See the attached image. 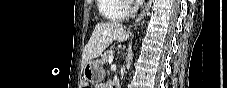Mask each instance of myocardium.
Here are the masks:
<instances>
[{"label":"myocardium","instance_id":"f54148a6","mask_svg":"<svg viewBox=\"0 0 227 88\" xmlns=\"http://www.w3.org/2000/svg\"><path fill=\"white\" fill-rule=\"evenodd\" d=\"M130 6H131L130 1H127V9H128L129 11H133V8H131Z\"/></svg>","mask_w":227,"mask_h":88}]
</instances>
